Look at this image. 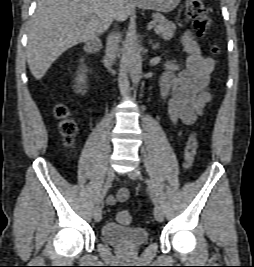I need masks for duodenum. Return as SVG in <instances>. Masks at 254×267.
<instances>
[{"mask_svg": "<svg viewBox=\"0 0 254 267\" xmlns=\"http://www.w3.org/2000/svg\"><path fill=\"white\" fill-rule=\"evenodd\" d=\"M101 47V43L98 39H91L88 42H86L83 52L84 54H92L97 52ZM84 56L81 57V61H84Z\"/></svg>", "mask_w": 254, "mask_h": 267, "instance_id": "duodenum-1", "label": "duodenum"}]
</instances>
